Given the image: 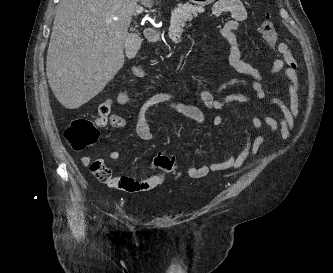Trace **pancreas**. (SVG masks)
<instances>
[{
    "instance_id": "obj_1",
    "label": "pancreas",
    "mask_w": 333,
    "mask_h": 273,
    "mask_svg": "<svg viewBox=\"0 0 333 273\" xmlns=\"http://www.w3.org/2000/svg\"><path fill=\"white\" fill-rule=\"evenodd\" d=\"M202 12H204L202 7L193 6L188 3L177 5L171 13L169 38L174 41L179 40L186 21H192L194 17H197L198 13Z\"/></svg>"
}]
</instances>
